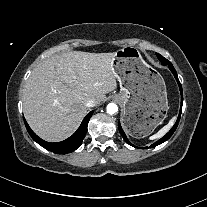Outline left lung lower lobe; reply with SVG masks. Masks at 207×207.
<instances>
[{
    "label": "left lung lower lobe",
    "instance_id": "obj_1",
    "mask_svg": "<svg viewBox=\"0 0 207 207\" xmlns=\"http://www.w3.org/2000/svg\"><path fill=\"white\" fill-rule=\"evenodd\" d=\"M165 65H168L169 69H170L171 72L173 73V75H174V77H175V79L177 80V83H178V85H179V89H180V93H181V108H180V113H179L178 119H177L176 123L174 124V126L171 128V130H170V131H169L163 138H161L160 140H158L157 142H155L154 144H152V145L150 146L151 148H152V147H155V146H158V145H160V144H162L163 142L167 141V140L172 136V134L175 132V130H176L177 126H178V122H179V120H180V116H181V112H182V103H183L182 86H181L180 81H179V79H178L176 70H175L174 67L172 66L171 62H168V63L165 64ZM119 132L121 133L122 137L124 138V140H125L129 145H131V146H133V147L136 148V146L132 145V144L128 141V139H127V137H126V134L124 133V131H123V129H122L120 123H119ZM146 148H148V147H146Z\"/></svg>",
    "mask_w": 207,
    "mask_h": 207
}]
</instances>
